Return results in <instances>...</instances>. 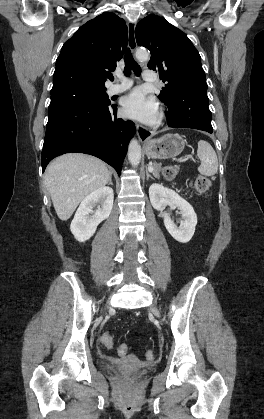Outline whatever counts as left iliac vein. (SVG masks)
Masks as SVG:
<instances>
[{
    "instance_id": "left-iliac-vein-1",
    "label": "left iliac vein",
    "mask_w": 264,
    "mask_h": 419,
    "mask_svg": "<svg viewBox=\"0 0 264 419\" xmlns=\"http://www.w3.org/2000/svg\"><path fill=\"white\" fill-rule=\"evenodd\" d=\"M152 311L156 316H159V312L156 309H152Z\"/></svg>"
}]
</instances>
